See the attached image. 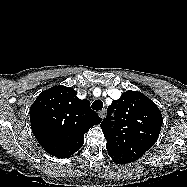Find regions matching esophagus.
I'll return each instance as SVG.
<instances>
[{"mask_svg": "<svg viewBox=\"0 0 187 187\" xmlns=\"http://www.w3.org/2000/svg\"><path fill=\"white\" fill-rule=\"evenodd\" d=\"M98 115H99L100 118L104 119L105 116H106V111L105 110H101V111L98 112Z\"/></svg>", "mask_w": 187, "mask_h": 187, "instance_id": "esophagus-1", "label": "esophagus"}]
</instances>
